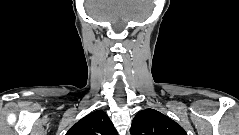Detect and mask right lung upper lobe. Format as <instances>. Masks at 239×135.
Here are the masks:
<instances>
[{
  "mask_svg": "<svg viewBox=\"0 0 239 135\" xmlns=\"http://www.w3.org/2000/svg\"><path fill=\"white\" fill-rule=\"evenodd\" d=\"M66 135H117V130L104 111L96 110L80 119Z\"/></svg>",
  "mask_w": 239,
  "mask_h": 135,
  "instance_id": "obj_1",
  "label": "right lung upper lobe"
}]
</instances>
